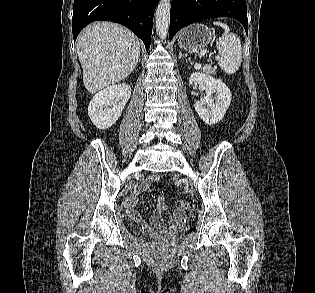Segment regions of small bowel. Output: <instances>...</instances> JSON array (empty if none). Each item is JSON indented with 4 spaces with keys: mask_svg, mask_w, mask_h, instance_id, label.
Wrapping results in <instances>:
<instances>
[{
    "mask_svg": "<svg viewBox=\"0 0 315 293\" xmlns=\"http://www.w3.org/2000/svg\"><path fill=\"white\" fill-rule=\"evenodd\" d=\"M158 180V176L157 175H152L150 177H148L143 183H141L137 189L135 194H133L132 196H130L126 203H125V209L127 211V213L129 214V216L136 220L137 222H142V216L141 214L137 211L136 209V204H137V194L145 191L146 189H148L154 182H156ZM168 209V205L164 199L163 196H159L158 197V201H157V209L156 211L152 214L151 216V221L154 224H159L162 220L161 218V212L166 211ZM186 213L185 211H174L173 216L170 217L168 219L169 222L171 221H178V220H182L183 218H185Z\"/></svg>",
    "mask_w": 315,
    "mask_h": 293,
    "instance_id": "small-bowel-1",
    "label": "small bowel"
}]
</instances>
